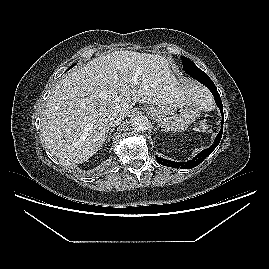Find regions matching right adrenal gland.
I'll use <instances>...</instances> for the list:
<instances>
[{"instance_id": "right-adrenal-gland-1", "label": "right adrenal gland", "mask_w": 269, "mask_h": 269, "mask_svg": "<svg viewBox=\"0 0 269 269\" xmlns=\"http://www.w3.org/2000/svg\"><path fill=\"white\" fill-rule=\"evenodd\" d=\"M113 131H114V128H112V129L109 131L108 139L106 140V143H108V142L110 141L111 134H112Z\"/></svg>"}]
</instances>
